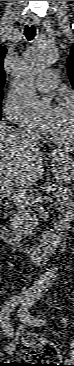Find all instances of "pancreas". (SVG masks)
Listing matches in <instances>:
<instances>
[{
  "label": "pancreas",
  "instance_id": "cf45deb5",
  "mask_svg": "<svg viewBox=\"0 0 74 366\" xmlns=\"http://www.w3.org/2000/svg\"><path fill=\"white\" fill-rule=\"evenodd\" d=\"M44 190L53 192L55 197H58L62 203L70 204L73 201V191L68 187L58 186L49 182L43 184ZM36 198V195L31 192L25 199L15 201L16 207L20 209L19 216L15 219V226L13 227L16 237H21L23 233L33 234V230L36 229V225L29 221L30 208L33 206L32 200ZM22 215V216H21Z\"/></svg>",
  "mask_w": 74,
  "mask_h": 366
}]
</instances>
